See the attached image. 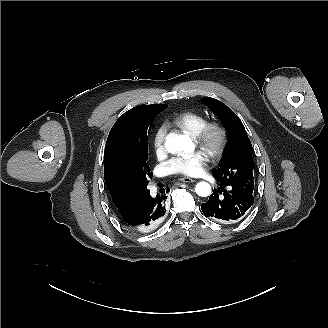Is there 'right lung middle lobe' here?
<instances>
[{"instance_id": "dd1d6c3e", "label": "right lung middle lobe", "mask_w": 328, "mask_h": 328, "mask_svg": "<svg viewBox=\"0 0 328 328\" xmlns=\"http://www.w3.org/2000/svg\"><path fill=\"white\" fill-rule=\"evenodd\" d=\"M163 109L141 106L115 126L107 141V159L111 172L120 186L137 196H147L151 178L148 158V133L155 117Z\"/></svg>"}]
</instances>
